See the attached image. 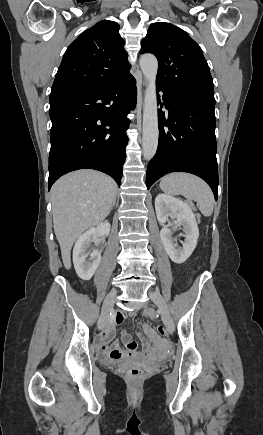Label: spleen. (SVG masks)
I'll list each match as a JSON object with an SVG mask.
<instances>
[{"mask_svg":"<svg viewBox=\"0 0 263 435\" xmlns=\"http://www.w3.org/2000/svg\"><path fill=\"white\" fill-rule=\"evenodd\" d=\"M160 188L166 193L181 194L189 200H195L206 217L213 213V193L206 182L195 175L183 172L168 174L161 179Z\"/></svg>","mask_w":263,"mask_h":435,"instance_id":"1","label":"spleen"}]
</instances>
